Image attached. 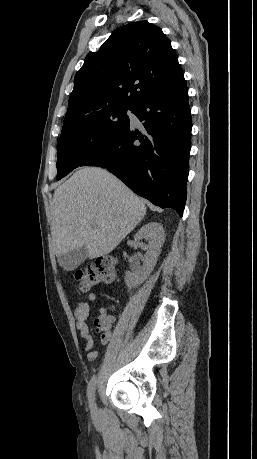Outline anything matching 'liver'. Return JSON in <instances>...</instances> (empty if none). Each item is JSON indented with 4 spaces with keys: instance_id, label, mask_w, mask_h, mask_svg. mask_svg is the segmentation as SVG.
<instances>
[{
    "instance_id": "6515ba94",
    "label": "liver",
    "mask_w": 257,
    "mask_h": 459,
    "mask_svg": "<svg viewBox=\"0 0 257 459\" xmlns=\"http://www.w3.org/2000/svg\"><path fill=\"white\" fill-rule=\"evenodd\" d=\"M51 235L57 257L82 246L110 253L144 218L146 206L107 170L83 167L54 192Z\"/></svg>"
}]
</instances>
